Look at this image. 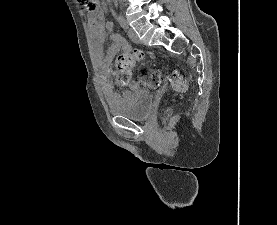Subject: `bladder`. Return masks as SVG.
Instances as JSON below:
<instances>
[{"label": "bladder", "mask_w": 277, "mask_h": 225, "mask_svg": "<svg viewBox=\"0 0 277 225\" xmlns=\"http://www.w3.org/2000/svg\"><path fill=\"white\" fill-rule=\"evenodd\" d=\"M153 95L144 89H133L122 94L110 106V113L131 120H145L153 110Z\"/></svg>", "instance_id": "bladder-1"}]
</instances>
